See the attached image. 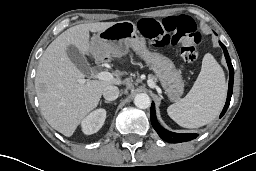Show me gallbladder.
<instances>
[{
    "label": "gallbladder",
    "mask_w": 256,
    "mask_h": 171,
    "mask_svg": "<svg viewBox=\"0 0 256 171\" xmlns=\"http://www.w3.org/2000/svg\"><path fill=\"white\" fill-rule=\"evenodd\" d=\"M66 53L72 63L83 73H87L90 70V65L81 53V51L74 45H69L66 49Z\"/></svg>",
    "instance_id": "bac80fb5"
}]
</instances>
